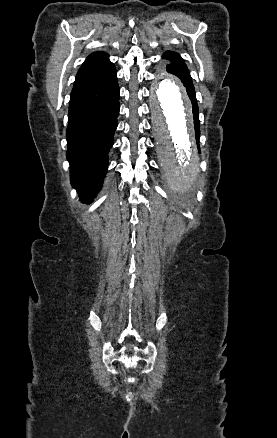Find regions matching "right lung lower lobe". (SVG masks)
<instances>
[{
    "mask_svg": "<svg viewBox=\"0 0 277 438\" xmlns=\"http://www.w3.org/2000/svg\"><path fill=\"white\" fill-rule=\"evenodd\" d=\"M118 115L115 68L106 75L74 85L66 132L67 159L72 186L85 203H90L98 193L107 173Z\"/></svg>",
    "mask_w": 277,
    "mask_h": 438,
    "instance_id": "1",
    "label": "right lung lower lobe"
}]
</instances>
